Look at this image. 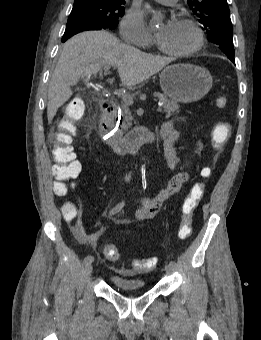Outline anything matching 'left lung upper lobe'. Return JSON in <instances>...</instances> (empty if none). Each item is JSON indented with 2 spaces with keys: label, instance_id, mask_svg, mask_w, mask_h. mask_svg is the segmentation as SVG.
I'll use <instances>...</instances> for the list:
<instances>
[{
  "label": "left lung upper lobe",
  "instance_id": "5c2ea615",
  "mask_svg": "<svg viewBox=\"0 0 261 340\" xmlns=\"http://www.w3.org/2000/svg\"><path fill=\"white\" fill-rule=\"evenodd\" d=\"M190 9L206 29L208 40L228 58H234L233 28L226 0H187Z\"/></svg>",
  "mask_w": 261,
  "mask_h": 340
}]
</instances>
